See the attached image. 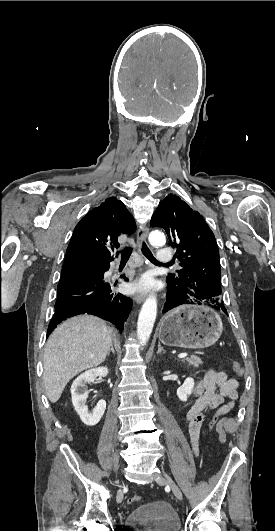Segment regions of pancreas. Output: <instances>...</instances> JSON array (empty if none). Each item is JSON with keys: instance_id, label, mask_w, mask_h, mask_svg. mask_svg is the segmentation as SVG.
I'll list each match as a JSON object with an SVG mask.
<instances>
[{"instance_id": "obj_1", "label": "pancreas", "mask_w": 275, "mask_h": 531, "mask_svg": "<svg viewBox=\"0 0 275 531\" xmlns=\"http://www.w3.org/2000/svg\"><path fill=\"white\" fill-rule=\"evenodd\" d=\"M183 361L188 363V365H193V367H200L203 363V361H201L199 357H196V355H191V357H187V359H183Z\"/></svg>"}]
</instances>
